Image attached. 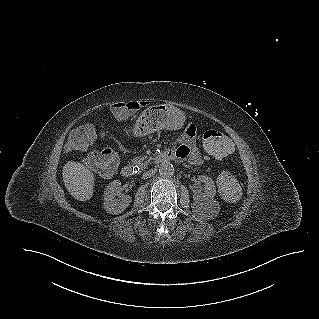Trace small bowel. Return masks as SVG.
Returning <instances> with one entry per match:
<instances>
[{
	"label": "small bowel",
	"mask_w": 319,
	"mask_h": 319,
	"mask_svg": "<svg viewBox=\"0 0 319 319\" xmlns=\"http://www.w3.org/2000/svg\"><path fill=\"white\" fill-rule=\"evenodd\" d=\"M140 108L138 102H127L126 99H117L116 105L111 106L109 110L102 113V120L100 121V128L102 130H109L116 120L123 121L127 115L133 114ZM200 131V126L195 121H190L185 126V132L180 135L171 151L174 153L176 160H188L193 165L202 163L203 158L196 146V135Z\"/></svg>",
	"instance_id": "c3829d8e"
}]
</instances>
